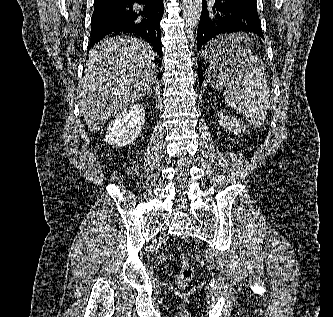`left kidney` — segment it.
<instances>
[{"label":"left kidney","instance_id":"1","mask_svg":"<svg viewBox=\"0 0 333 317\" xmlns=\"http://www.w3.org/2000/svg\"><path fill=\"white\" fill-rule=\"evenodd\" d=\"M218 122L221 127L233 132L234 134H238L246 130L245 125H243L239 120L223 113L218 114Z\"/></svg>","mask_w":333,"mask_h":317}]
</instances>
